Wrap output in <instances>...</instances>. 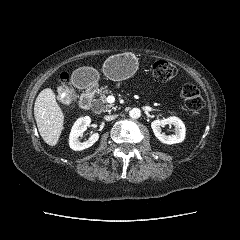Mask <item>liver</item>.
I'll return each instance as SVG.
<instances>
[{
	"instance_id": "1",
	"label": "liver",
	"mask_w": 240,
	"mask_h": 240,
	"mask_svg": "<svg viewBox=\"0 0 240 240\" xmlns=\"http://www.w3.org/2000/svg\"><path fill=\"white\" fill-rule=\"evenodd\" d=\"M34 116L43 140L55 146L63 130L64 114L52 89L46 88L39 93L34 104Z\"/></svg>"
}]
</instances>
